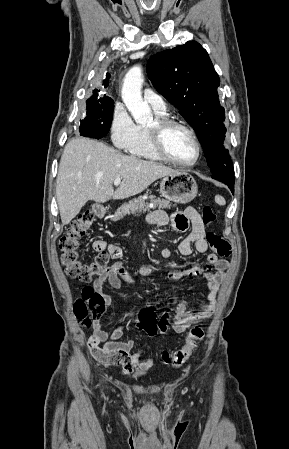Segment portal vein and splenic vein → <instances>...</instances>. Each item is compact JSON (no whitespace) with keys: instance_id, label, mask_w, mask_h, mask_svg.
<instances>
[{"instance_id":"portal-vein-and-splenic-vein-1","label":"portal vein and splenic vein","mask_w":289,"mask_h":449,"mask_svg":"<svg viewBox=\"0 0 289 449\" xmlns=\"http://www.w3.org/2000/svg\"><path fill=\"white\" fill-rule=\"evenodd\" d=\"M120 183H121V179L120 178H117V179L114 180V185L115 186L120 185Z\"/></svg>"}]
</instances>
